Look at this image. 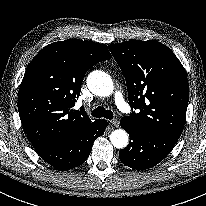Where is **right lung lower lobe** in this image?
<instances>
[{
  "instance_id": "right-lung-lower-lobe-1",
  "label": "right lung lower lobe",
  "mask_w": 206,
  "mask_h": 206,
  "mask_svg": "<svg viewBox=\"0 0 206 206\" xmlns=\"http://www.w3.org/2000/svg\"><path fill=\"white\" fill-rule=\"evenodd\" d=\"M106 127V120H97L75 137L54 145L36 148V152L54 168L70 170L87 160L93 142L104 133Z\"/></svg>"
}]
</instances>
